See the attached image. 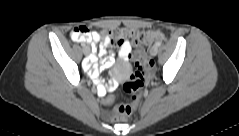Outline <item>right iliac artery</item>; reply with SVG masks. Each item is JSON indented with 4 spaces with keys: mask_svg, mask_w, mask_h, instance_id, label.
Here are the masks:
<instances>
[{
    "mask_svg": "<svg viewBox=\"0 0 239 136\" xmlns=\"http://www.w3.org/2000/svg\"><path fill=\"white\" fill-rule=\"evenodd\" d=\"M87 45L85 43H81V47L85 48Z\"/></svg>",
    "mask_w": 239,
    "mask_h": 136,
    "instance_id": "82829eb1",
    "label": "right iliac artery"
}]
</instances>
